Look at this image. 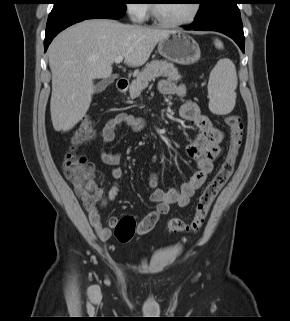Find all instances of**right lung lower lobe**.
I'll return each instance as SVG.
<instances>
[{"mask_svg": "<svg viewBox=\"0 0 290 321\" xmlns=\"http://www.w3.org/2000/svg\"><path fill=\"white\" fill-rule=\"evenodd\" d=\"M124 11L101 12V13H83V12H60L50 13L46 26V35L44 40L45 51L53 38L68 26L83 21L85 19L107 18L119 19L123 17Z\"/></svg>", "mask_w": 290, "mask_h": 321, "instance_id": "right-lung-lower-lobe-1", "label": "right lung lower lobe"}]
</instances>
